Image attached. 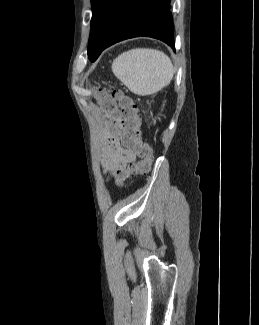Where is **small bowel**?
<instances>
[{"mask_svg":"<svg viewBox=\"0 0 259 325\" xmlns=\"http://www.w3.org/2000/svg\"><path fill=\"white\" fill-rule=\"evenodd\" d=\"M137 155L122 143L121 128L110 129L107 146L102 157L105 172L114 173L135 161Z\"/></svg>","mask_w":259,"mask_h":325,"instance_id":"1","label":"small bowel"}]
</instances>
